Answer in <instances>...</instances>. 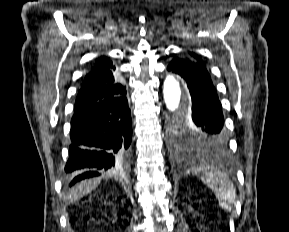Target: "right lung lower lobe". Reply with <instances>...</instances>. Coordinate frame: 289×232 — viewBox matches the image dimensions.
<instances>
[{"mask_svg":"<svg viewBox=\"0 0 289 232\" xmlns=\"http://www.w3.org/2000/svg\"><path fill=\"white\" fill-rule=\"evenodd\" d=\"M70 136L72 144L65 171L75 175L71 185L119 166L126 158L132 137L126 90L110 99L75 105Z\"/></svg>","mask_w":289,"mask_h":232,"instance_id":"right-lung-lower-lobe-1","label":"right lung lower lobe"}]
</instances>
